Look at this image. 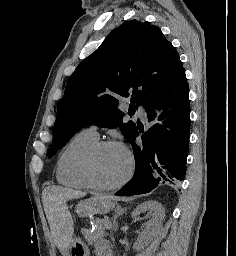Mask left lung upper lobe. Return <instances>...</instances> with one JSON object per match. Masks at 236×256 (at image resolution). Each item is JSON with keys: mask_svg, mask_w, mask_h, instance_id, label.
Here are the masks:
<instances>
[{"mask_svg": "<svg viewBox=\"0 0 236 256\" xmlns=\"http://www.w3.org/2000/svg\"><path fill=\"white\" fill-rule=\"evenodd\" d=\"M182 68L178 53L157 26L140 20L123 23L69 78L58 104L48 156L88 125L119 127L130 140L136 124L123 123L120 97L132 95L131 116Z\"/></svg>", "mask_w": 236, "mask_h": 256, "instance_id": "left-lung-upper-lobe-1", "label": "left lung upper lobe"}]
</instances>
